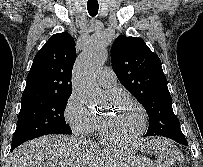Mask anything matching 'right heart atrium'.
<instances>
[{"label":"right heart atrium","mask_w":203,"mask_h":167,"mask_svg":"<svg viewBox=\"0 0 203 167\" xmlns=\"http://www.w3.org/2000/svg\"><path fill=\"white\" fill-rule=\"evenodd\" d=\"M64 119L76 135H89L96 129V117L75 92L70 94L65 103Z\"/></svg>","instance_id":"1"}]
</instances>
